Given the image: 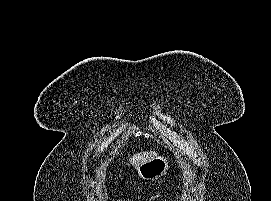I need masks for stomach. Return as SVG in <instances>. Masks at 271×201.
I'll list each match as a JSON object with an SVG mask.
<instances>
[{
    "label": "stomach",
    "mask_w": 271,
    "mask_h": 201,
    "mask_svg": "<svg viewBox=\"0 0 271 201\" xmlns=\"http://www.w3.org/2000/svg\"><path fill=\"white\" fill-rule=\"evenodd\" d=\"M168 169V160L164 156H156L137 168L138 176L143 180L154 181L163 176Z\"/></svg>",
    "instance_id": "0dacf381"
}]
</instances>
